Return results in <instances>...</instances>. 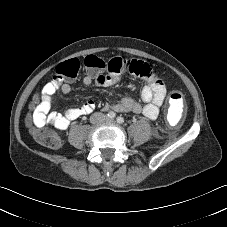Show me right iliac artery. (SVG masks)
Listing matches in <instances>:
<instances>
[{
  "label": "right iliac artery",
  "mask_w": 227,
  "mask_h": 227,
  "mask_svg": "<svg viewBox=\"0 0 227 227\" xmlns=\"http://www.w3.org/2000/svg\"><path fill=\"white\" fill-rule=\"evenodd\" d=\"M107 116L110 118V119H114L116 117V114L113 112V111H110Z\"/></svg>",
  "instance_id": "1"
}]
</instances>
